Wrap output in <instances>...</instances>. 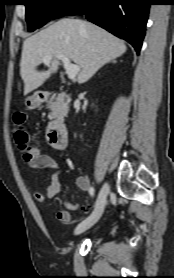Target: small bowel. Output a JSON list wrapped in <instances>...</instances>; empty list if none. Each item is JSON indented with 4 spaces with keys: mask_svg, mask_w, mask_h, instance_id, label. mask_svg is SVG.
Segmentation results:
<instances>
[{
    "mask_svg": "<svg viewBox=\"0 0 174 278\" xmlns=\"http://www.w3.org/2000/svg\"><path fill=\"white\" fill-rule=\"evenodd\" d=\"M27 165L31 169H45L53 170L51 175L50 185L43 192H35L34 198L37 202L43 203L46 198H52L57 194H61L62 185L60 182L61 169L57 161L49 155L39 153L38 156ZM76 186L83 192H89L92 187L90 180L86 176H79L76 179ZM78 209V205L71 202L69 199L64 198V209L57 213V219L62 223H67L71 219V212Z\"/></svg>",
    "mask_w": 174,
    "mask_h": 278,
    "instance_id": "obj_1",
    "label": "small bowel"
}]
</instances>
